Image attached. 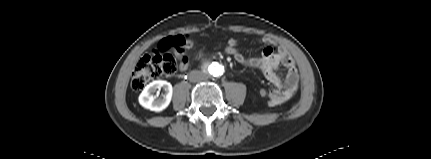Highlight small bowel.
<instances>
[{
  "instance_id": "c3829d8e",
  "label": "small bowel",
  "mask_w": 431,
  "mask_h": 159,
  "mask_svg": "<svg viewBox=\"0 0 431 159\" xmlns=\"http://www.w3.org/2000/svg\"><path fill=\"white\" fill-rule=\"evenodd\" d=\"M260 42L265 45L260 56L246 57L243 54L231 56L240 64L257 68L265 74L268 81L277 87L270 90L266 96L269 106L279 107L296 93L299 83L298 72L292 57L285 50L277 48L272 39L263 37ZM237 46L238 41L230 39L228 44L223 46V51L228 53L231 47L237 48ZM219 49H222V46H219ZM188 66V58L183 56L180 61V70L186 71ZM281 67L286 69L284 78L279 75Z\"/></svg>"
}]
</instances>
